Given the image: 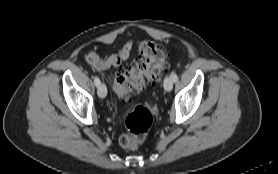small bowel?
<instances>
[{"label": "small bowel", "mask_w": 278, "mask_h": 174, "mask_svg": "<svg viewBox=\"0 0 278 174\" xmlns=\"http://www.w3.org/2000/svg\"><path fill=\"white\" fill-rule=\"evenodd\" d=\"M132 48V42H125L119 51L107 58H100L97 53L89 52L86 56L87 62L97 71L118 67L123 61L127 60Z\"/></svg>", "instance_id": "1"}]
</instances>
